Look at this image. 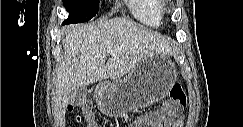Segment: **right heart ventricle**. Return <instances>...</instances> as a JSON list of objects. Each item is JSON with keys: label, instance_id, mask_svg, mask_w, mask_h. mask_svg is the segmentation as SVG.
<instances>
[{"label": "right heart ventricle", "instance_id": "right-heart-ventricle-1", "mask_svg": "<svg viewBox=\"0 0 243 127\" xmlns=\"http://www.w3.org/2000/svg\"><path fill=\"white\" fill-rule=\"evenodd\" d=\"M128 8L133 18L149 27H159L164 18L165 3L162 0H131Z\"/></svg>", "mask_w": 243, "mask_h": 127}]
</instances>
